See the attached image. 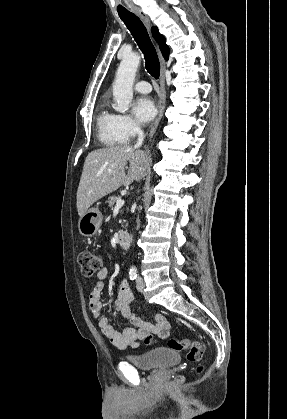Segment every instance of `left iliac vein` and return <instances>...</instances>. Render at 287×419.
<instances>
[{"instance_id":"1","label":"left iliac vein","mask_w":287,"mask_h":419,"mask_svg":"<svg viewBox=\"0 0 287 419\" xmlns=\"http://www.w3.org/2000/svg\"><path fill=\"white\" fill-rule=\"evenodd\" d=\"M136 288L139 292L143 291L144 288V280L142 277H139L136 282Z\"/></svg>"}]
</instances>
